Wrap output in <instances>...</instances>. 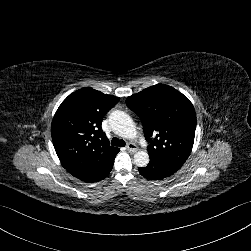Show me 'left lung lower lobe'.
<instances>
[{"label": "left lung lower lobe", "mask_w": 251, "mask_h": 251, "mask_svg": "<svg viewBox=\"0 0 251 251\" xmlns=\"http://www.w3.org/2000/svg\"><path fill=\"white\" fill-rule=\"evenodd\" d=\"M150 162L146 167L138 168L139 173L147 179L162 180L171 176L181 168V164L149 155Z\"/></svg>", "instance_id": "left-lung-lower-lobe-1"}]
</instances>
